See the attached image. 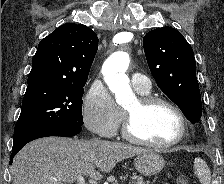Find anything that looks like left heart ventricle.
Segmentation results:
<instances>
[{
    "instance_id": "b2bd125f",
    "label": "left heart ventricle",
    "mask_w": 224,
    "mask_h": 184,
    "mask_svg": "<svg viewBox=\"0 0 224 184\" xmlns=\"http://www.w3.org/2000/svg\"><path fill=\"white\" fill-rule=\"evenodd\" d=\"M126 109L136 112L135 130L140 137L148 141L158 144L167 143L179 133L180 124L177 115L163 104L138 111L136 99Z\"/></svg>"
}]
</instances>
